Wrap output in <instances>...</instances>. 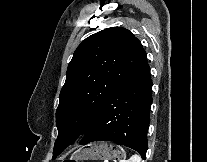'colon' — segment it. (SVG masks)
Listing matches in <instances>:
<instances>
[{
  "label": "colon",
  "instance_id": "obj_1",
  "mask_svg": "<svg viewBox=\"0 0 207 162\" xmlns=\"http://www.w3.org/2000/svg\"><path fill=\"white\" fill-rule=\"evenodd\" d=\"M61 162H82V161H77V160H72V159H67Z\"/></svg>",
  "mask_w": 207,
  "mask_h": 162
}]
</instances>
